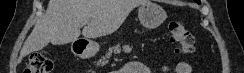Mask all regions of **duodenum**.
<instances>
[{
  "instance_id": "obj_1",
  "label": "duodenum",
  "mask_w": 244,
  "mask_h": 73,
  "mask_svg": "<svg viewBox=\"0 0 244 73\" xmlns=\"http://www.w3.org/2000/svg\"><path fill=\"white\" fill-rule=\"evenodd\" d=\"M73 50L79 57H85L89 53L88 46L82 42H75Z\"/></svg>"
}]
</instances>
